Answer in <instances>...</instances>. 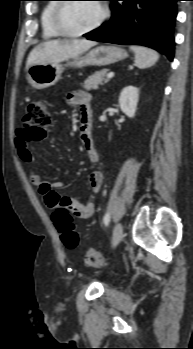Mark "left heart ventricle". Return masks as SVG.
Returning <instances> with one entry per match:
<instances>
[{"mask_svg": "<svg viewBox=\"0 0 193 349\" xmlns=\"http://www.w3.org/2000/svg\"><path fill=\"white\" fill-rule=\"evenodd\" d=\"M100 15L101 7L96 2L70 3L62 12V23L67 30L77 32L93 25Z\"/></svg>", "mask_w": 193, "mask_h": 349, "instance_id": "1", "label": "left heart ventricle"}]
</instances>
